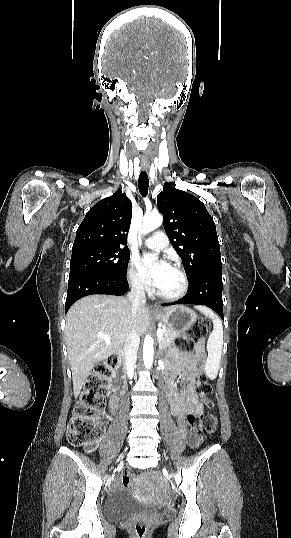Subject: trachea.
Returning a JSON list of instances; mask_svg holds the SVG:
<instances>
[{"instance_id":"3493384b","label":"trachea","mask_w":291,"mask_h":538,"mask_svg":"<svg viewBox=\"0 0 291 538\" xmlns=\"http://www.w3.org/2000/svg\"><path fill=\"white\" fill-rule=\"evenodd\" d=\"M138 187L142 197H146V195L148 194L149 180L148 175L145 171H141L139 175Z\"/></svg>"}]
</instances>
